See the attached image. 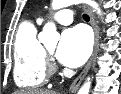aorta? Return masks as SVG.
I'll list each match as a JSON object with an SVG mask.
<instances>
[{"label":"aorta","mask_w":121,"mask_h":94,"mask_svg":"<svg viewBox=\"0 0 121 94\" xmlns=\"http://www.w3.org/2000/svg\"><path fill=\"white\" fill-rule=\"evenodd\" d=\"M85 2L90 5L94 11L101 15V10L99 8L98 3L95 0H52V8L54 10H58L64 7H67L71 4ZM39 40L46 46H54L59 40V34L56 30V26L52 22H48L43 27L42 32L39 34ZM91 87L90 78L83 84V86L79 89L78 94H89V90Z\"/></svg>","instance_id":"obj_1"}]
</instances>
